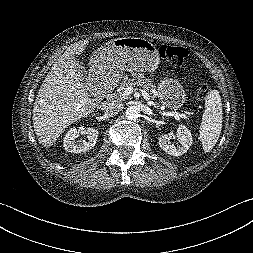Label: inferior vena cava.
Wrapping results in <instances>:
<instances>
[{"mask_svg": "<svg viewBox=\"0 0 253 253\" xmlns=\"http://www.w3.org/2000/svg\"><path fill=\"white\" fill-rule=\"evenodd\" d=\"M103 111L105 115L107 116H114L118 114L122 109H123V104L116 101V102H111L103 106Z\"/></svg>", "mask_w": 253, "mask_h": 253, "instance_id": "obj_1", "label": "inferior vena cava"}]
</instances>
